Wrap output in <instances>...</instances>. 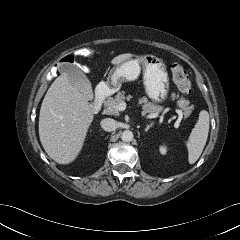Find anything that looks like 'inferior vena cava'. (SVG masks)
<instances>
[{
    "label": "inferior vena cava",
    "instance_id": "1",
    "mask_svg": "<svg viewBox=\"0 0 240 240\" xmlns=\"http://www.w3.org/2000/svg\"><path fill=\"white\" fill-rule=\"evenodd\" d=\"M101 127L108 132L114 131L117 128V122L111 118H105L100 122Z\"/></svg>",
    "mask_w": 240,
    "mask_h": 240
}]
</instances>
